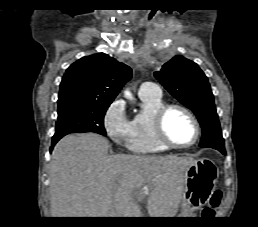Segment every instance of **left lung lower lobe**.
Wrapping results in <instances>:
<instances>
[{"instance_id": "left-lung-lower-lobe-1", "label": "left lung lower lobe", "mask_w": 258, "mask_h": 227, "mask_svg": "<svg viewBox=\"0 0 258 227\" xmlns=\"http://www.w3.org/2000/svg\"><path fill=\"white\" fill-rule=\"evenodd\" d=\"M219 151H220V152H222L223 154H226V152H225V148H223V149H222V148H220V149H219Z\"/></svg>"}]
</instances>
